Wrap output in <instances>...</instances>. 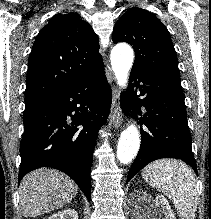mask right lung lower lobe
<instances>
[{
	"label": "right lung lower lobe",
	"mask_w": 211,
	"mask_h": 219,
	"mask_svg": "<svg viewBox=\"0 0 211 219\" xmlns=\"http://www.w3.org/2000/svg\"><path fill=\"white\" fill-rule=\"evenodd\" d=\"M111 101V88L101 67L25 106L19 181L39 167L55 168L69 175L90 201L94 146Z\"/></svg>",
	"instance_id": "1"
}]
</instances>
